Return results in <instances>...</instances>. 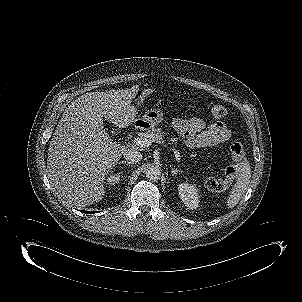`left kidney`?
<instances>
[{
    "label": "left kidney",
    "instance_id": "1",
    "mask_svg": "<svg viewBox=\"0 0 302 302\" xmlns=\"http://www.w3.org/2000/svg\"><path fill=\"white\" fill-rule=\"evenodd\" d=\"M179 197L189 209H196L199 204L198 190L195 185L181 183L178 186Z\"/></svg>",
    "mask_w": 302,
    "mask_h": 302
}]
</instances>
